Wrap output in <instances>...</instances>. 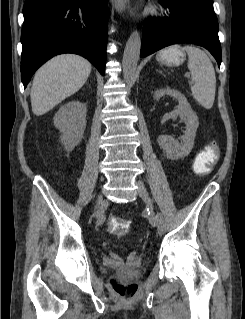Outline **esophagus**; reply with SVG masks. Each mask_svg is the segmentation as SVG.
Here are the masks:
<instances>
[{
	"mask_svg": "<svg viewBox=\"0 0 245 319\" xmlns=\"http://www.w3.org/2000/svg\"><path fill=\"white\" fill-rule=\"evenodd\" d=\"M112 5L118 12H124L126 9V0H111Z\"/></svg>",
	"mask_w": 245,
	"mask_h": 319,
	"instance_id": "esophagus-1",
	"label": "esophagus"
}]
</instances>
